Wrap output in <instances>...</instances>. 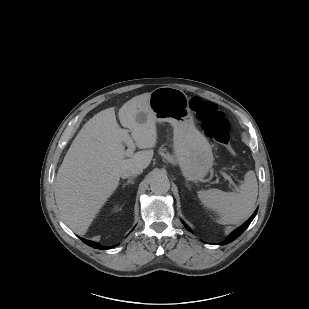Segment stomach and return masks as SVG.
<instances>
[{"label": "stomach", "mask_w": 309, "mask_h": 309, "mask_svg": "<svg viewBox=\"0 0 309 309\" xmlns=\"http://www.w3.org/2000/svg\"><path fill=\"white\" fill-rule=\"evenodd\" d=\"M149 106L157 122L174 128L173 153L189 181L202 180L213 165L211 147L194 125L187 95L178 88L159 87L151 92Z\"/></svg>", "instance_id": "1"}]
</instances>
